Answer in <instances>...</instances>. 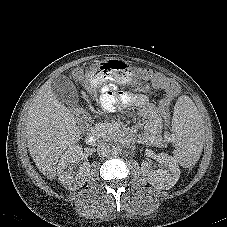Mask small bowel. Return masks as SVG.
Segmentation results:
<instances>
[{"instance_id":"c3829d8e","label":"small bowel","mask_w":227,"mask_h":227,"mask_svg":"<svg viewBox=\"0 0 227 227\" xmlns=\"http://www.w3.org/2000/svg\"><path fill=\"white\" fill-rule=\"evenodd\" d=\"M100 105L101 109L106 112H112L120 103H131L135 100L128 97H118L111 86L100 87ZM161 128V122L157 117H151L146 127L147 134L151 137L156 136Z\"/></svg>"}]
</instances>
